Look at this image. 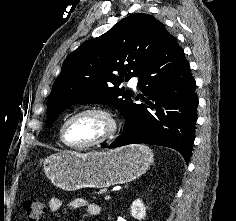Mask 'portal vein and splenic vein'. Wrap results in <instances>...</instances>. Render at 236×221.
<instances>
[{
    "label": "portal vein and splenic vein",
    "mask_w": 236,
    "mask_h": 221,
    "mask_svg": "<svg viewBox=\"0 0 236 221\" xmlns=\"http://www.w3.org/2000/svg\"><path fill=\"white\" fill-rule=\"evenodd\" d=\"M110 198H111L110 195L105 196V200H109Z\"/></svg>",
    "instance_id": "obj_1"
}]
</instances>
